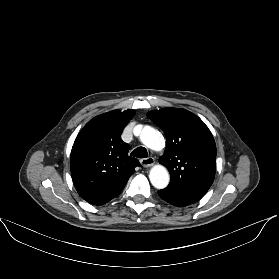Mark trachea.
<instances>
[{
  "instance_id": "trachea-1",
  "label": "trachea",
  "mask_w": 279,
  "mask_h": 279,
  "mask_svg": "<svg viewBox=\"0 0 279 279\" xmlns=\"http://www.w3.org/2000/svg\"><path fill=\"white\" fill-rule=\"evenodd\" d=\"M131 156L137 157V158H147L148 157V152L146 148L144 147H137L134 149L131 153Z\"/></svg>"
}]
</instances>
